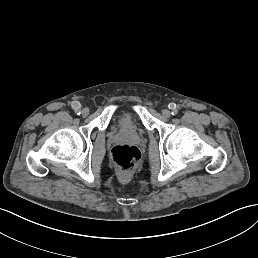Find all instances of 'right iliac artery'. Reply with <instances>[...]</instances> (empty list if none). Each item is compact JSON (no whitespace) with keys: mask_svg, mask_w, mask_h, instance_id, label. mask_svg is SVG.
Returning <instances> with one entry per match:
<instances>
[{"mask_svg":"<svg viewBox=\"0 0 258 258\" xmlns=\"http://www.w3.org/2000/svg\"><path fill=\"white\" fill-rule=\"evenodd\" d=\"M75 113H76L77 115H81V111H80V110H76Z\"/></svg>","mask_w":258,"mask_h":258,"instance_id":"right-iliac-artery-1","label":"right iliac artery"}]
</instances>
